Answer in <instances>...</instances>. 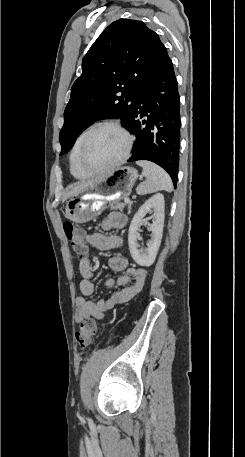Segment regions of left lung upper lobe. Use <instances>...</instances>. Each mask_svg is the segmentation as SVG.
Wrapping results in <instances>:
<instances>
[{
	"instance_id": "5c2ea615",
	"label": "left lung upper lobe",
	"mask_w": 245,
	"mask_h": 457,
	"mask_svg": "<svg viewBox=\"0 0 245 457\" xmlns=\"http://www.w3.org/2000/svg\"><path fill=\"white\" fill-rule=\"evenodd\" d=\"M160 42L157 33L136 20L119 19L102 32L84 56L82 75L72 86L59 136L60 155L97 120L120 118L128 124Z\"/></svg>"
}]
</instances>
